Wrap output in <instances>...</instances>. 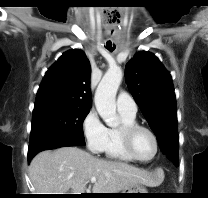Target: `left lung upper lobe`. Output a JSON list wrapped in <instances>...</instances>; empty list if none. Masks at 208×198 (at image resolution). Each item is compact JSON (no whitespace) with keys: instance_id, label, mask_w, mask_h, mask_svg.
Returning a JSON list of instances; mask_svg holds the SVG:
<instances>
[{"instance_id":"left-lung-upper-lobe-1","label":"left lung upper lobe","mask_w":208,"mask_h":198,"mask_svg":"<svg viewBox=\"0 0 208 198\" xmlns=\"http://www.w3.org/2000/svg\"><path fill=\"white\" fill-rule=\"evenodd\" d=\"M126 82L160 150L177 166L178 123L170 73L154 54L141 51L126 64Z\"/></svg>"}]
</instances>
